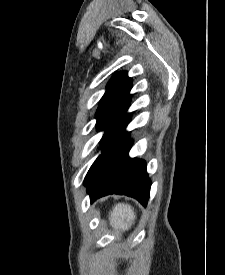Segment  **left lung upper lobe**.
<instances>
[{
	"mask_svg": "<svg viewBox=\"0 0 225 275\" xmlns=\"http://www.w3.org/2000/svg\"><path fill=\"white\" fill-rule=\"evenodd\" d=\"M132 87V80L126 72L116 73L108 83L105 94L103 95L100 106L97 110V130H105L100 141L102 152L88 171L85 180L91 175L95 164L100 157L113 148L127 134V109L129 107Z\"/></svg>",
	"mask_w": 225,
	"mask_h": 275,
	"instance_id": "left-lung-upper-lobe-1",
	"label": "left lung upper lobe"
}]
</instances>
